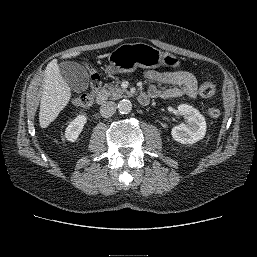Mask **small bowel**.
Returning a JSON list of instances; mask_svg holds the SVG:
<instances>
[{
    "mask_svg": "<svg viewBox=\"0 0 257 257\" xmlns=\"http://www.w3.org/2000/svg\"><path fill=\"white\" fill-rule=\"evenodd\" d=\"M144 76L152 84L148 87L146 94L149 98L171 99L179 97L195 98L198 93V82L196 77L185 71H155L148 70ZM156 84L167 85L160 89Z\"/></svg>",
    "mask_w": 257,
    "mask_h": 257,
    "instance_id": "1",
    "label": "small bowel"
}]
</instances>
